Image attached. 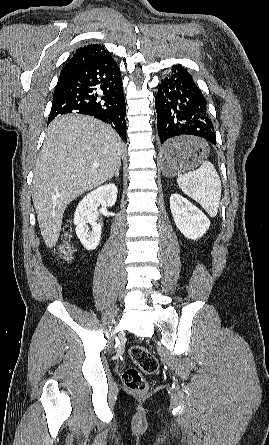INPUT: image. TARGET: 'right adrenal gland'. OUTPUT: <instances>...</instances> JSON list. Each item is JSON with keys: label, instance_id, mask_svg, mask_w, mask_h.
Masks as SVG:
<instances>
[{"label": "right adrenal gland", "instance_id": "right-adrenal-gland-1", "mask_svg": "<svg viewBox=\"0 0 269 445\" xmlns=\"http://www.w3.org/2000/svg\"><path fill=\"white\" fill-rule=\"evenodd\" d=\"M119 169H120V166L117 168L116 172L113 174L112 177L115 176L117 179L119 178ZM112 177H111V178H112Z\"/></svg>", "mask_w": 269, "mask_h": 445}]
</instances>
